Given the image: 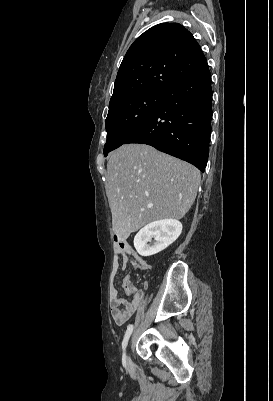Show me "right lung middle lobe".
Segmentation results:
<instances>
[{"mask_svg":"<svg viewBox=\"0 0 273 401\" xmlns=\"http://www.w3.org/2000/svg\"><path fill=\"white\" fill-rule=\"evenodd\" d=\"M165 92L142 91L109 104L104 156L121 146L163 101Z\"/></svg>","mask_w":273,"mask_h":401,"instance_id":"obj_1","label":"right lung middle lobe"}]
</instances>
